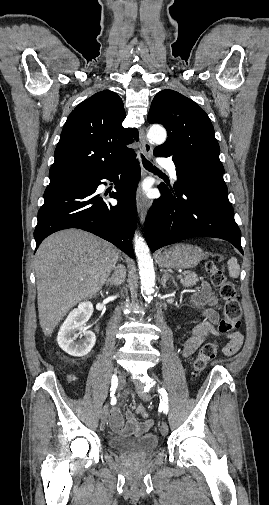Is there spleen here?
Listing matches in <instances>:
<instances>
[{
    "label": "spleen",
    "instance_id": "obj_1",
    "mask_svg": "<svg viewBox=\"0 0 269 505\" xmlns=\"http://www.w3.org/2000/svg\"><path fill=\"white\" fill-rule=\"evenodd\" d=\"M227 267L229 271V276L232 278H238L240 273V266L235 257H232L231 259L228 260Z\"/></svg>",
    "mask_w": 269,
    "mask_h": 505
}]
</instances>
